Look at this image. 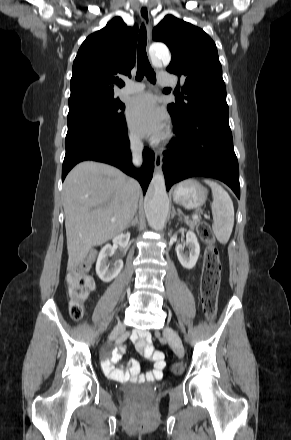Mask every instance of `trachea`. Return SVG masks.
Returning <instances> with one entry per match:
<instances>
[{
  "label": "trachea",
  "mask_w": 291,
  "mask_h": 440,
  "mask_svg": "<svg viewBox=\"0 0 291 440\" xmlns=\"http://www.w3.org/2000/svg\"><path fill=\"white\" fill-rule=\"evenodd\" d=\"M146 44H147V33L144 24H142L139 32V41L137 48V75L136 79L141 80L144 75L147 79L155 84L156 83V74L152 69L147 53H146Z\"/></svg>",
  "instance_id": "3493384b"
}]
</instances>
